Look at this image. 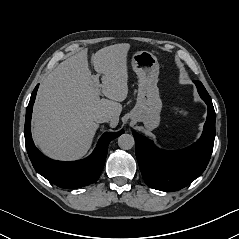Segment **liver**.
Returning a JSON list of instances; mask_svg holds the SVG:
<instances>
[{
    "mask_svg": "<svg viewBox=\"0 0 239 239\" xmlns=\"http://www.w3.org/2000/svg\"><path fill=\"white\" fill-rule=\"evenodd\" d=\"M126 43L104 47L92 55L94 70L102 75L96 87L83 50L46 76L40 85L33 108L32 135L47 156L57 160H76L91 147L99 124L95 117L111 116L116 127L122 102L128 94ZM102 93L108 99H100Z\"/></svg>",
    "mask_w": 239,
    "mask_h": 239,
    "instance_id": "6515ba94",
    "label": "liver"
}]
</instances>
